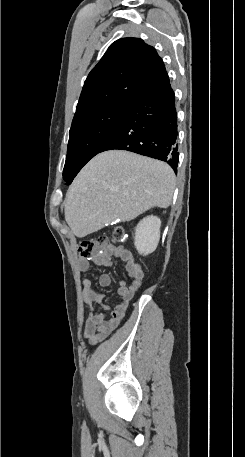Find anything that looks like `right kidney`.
Returning a JSON list of instances; mask_svg holds the SVG:
<instances>
[{
  "label": "right kidney",
  "mask_w": 245,
  "mask_h": 457,
  "mask_svg": "<svg viewBox=\"0 0 245 457\" xmlns=\"http://www.w3.org/2000/svg\"><path fill=\"white\" fill-rule=\"evenodd\" d=\"M161 220L158 216H145L135 229V247L137 251H155L160 239Z\"/></svg>",
  "instance_id": "1"
}]
</instances>
